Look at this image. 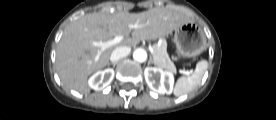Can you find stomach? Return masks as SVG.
<instances>
[{
  "label": "stomach",
  "mask_w": 276,
  "mask_h": 120,
  "mask_svg": "<svg viewBox=\"0 0 276 120\" xmlns=\"http://www.w3.org/2000/svg\"><path fill=\"white\" fill-rule=\"evenodd\" d=\"M174 42L177 52L183 57H195L207 46L205 33L193 22L185 23L175 30Z\"/></svg>",
  "instance_id": "0dacf381"
}]
</instances>
